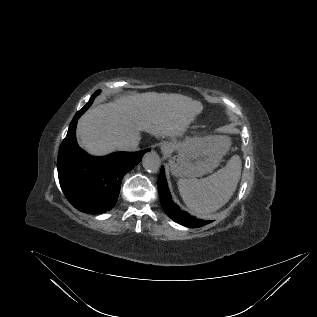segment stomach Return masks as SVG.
I'll list each match as a JSON object with an SVG mask.
<instances>
[{"label":"stomach","mask_w":317,"mask_h":317,"mask_svg":"<svg viewBox=\"0 0 317 317\" xmlns=\"http://www.w3.org/2000/svg\"><path fill=\"white\" fill-rule=\"evenodd\" d=\"M231 141L226 136L209 135L187 137L184 141L170 145L178 154L169 160L171 172L177 177H201L218 167L230 148Z\"/></svg>","instance_id":"obj_1"}]
</instances>
